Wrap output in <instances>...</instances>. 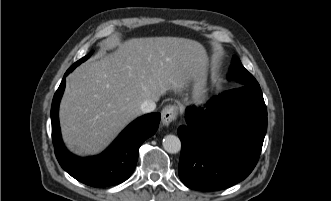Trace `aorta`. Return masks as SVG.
<instances>
[{"mask_svg":"<svg viewBox=\"0 0 331 201\" xmlns=\"http://www.w3.org/2000/svg\"><path fill=\"white\" fill-rule=\"evenodd\" d=\"M163 148L165 151L171 154L178 153L181 150V141L180 139L175 135H166L163 138Z\"/></svg>","mask_w":331,"mask_h":201,"instance_id":"aorta-1","label":"aorta"}]
</instances>
